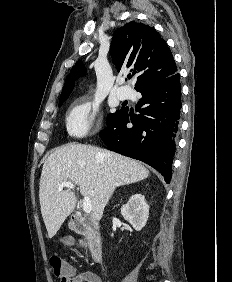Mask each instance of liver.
I'll use <instances>...</instances> for the list:
<instances>
[{"label": "liver", "instance_id": "6515ba94", "mask_svg": "<svg viewBox=\"0 0 232 282\" xmlns=\"http://www.w3.org/2000/svg\"><path fill=\"white\" fill-rule=\"evenodd\" d=\"M149 170L139 162L90 145L67 144L45 160L39 200L42 217L52 238L73 212L77 198L73 191H59V184L72 182L92 203L93 217L100 220L115 189L146 179Z\"/></svg>", "mask_w": 232, "mask_h": 282}]
</instances>
